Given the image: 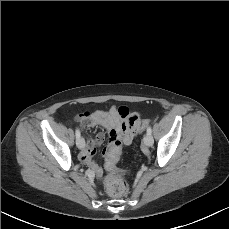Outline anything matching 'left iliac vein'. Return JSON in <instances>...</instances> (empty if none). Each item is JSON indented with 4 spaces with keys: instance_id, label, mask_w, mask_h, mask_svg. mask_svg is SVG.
Masks as SVG:
<instances>
[{
    "instance_id": "4c4485c4",
    "label": "left iliac vein",
    "mask_w": 229,
    "mask_h": 229,
    "mask_svg": "<svg viewBox=\"0 0 229 229\" xmlns=\"http://www.w3.org/2000/svg\"><path fill=\"white\" fill-rule=\"evenodd\" d=\"M153 137L150 134H145L143 137V143L147 146L150 147L153 145Z\"/></svg>"
}]
</instances>
